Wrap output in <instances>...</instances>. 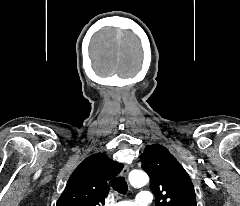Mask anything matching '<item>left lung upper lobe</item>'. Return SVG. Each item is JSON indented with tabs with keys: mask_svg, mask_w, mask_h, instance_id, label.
Instances as JSON below:
<instances>
[{
	"mask_svg": "<svg viewBox=\"0 0 240 206\" xmlns=\"http://www.w3.org/2000/svg\"><path fill=\"white\" fill-rule=\"evenodd\" d=\"M140 158L150 177L156 206H197L189 175L168 149L159 144L147 145Z\"/></svg>",
	"mask_w": 240,
	"mask_h": 206,
	"instance_id": "1",
	"label": "left lung upper lobe"
}]
</instances>
